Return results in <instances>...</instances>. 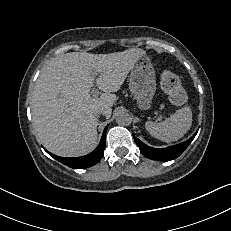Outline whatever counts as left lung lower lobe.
I'll list each match as a JSON object with an SVG mask.
<instances>
[{"instance_id": "0a47b994", "label": "left lung lower lobe", "mask_w": 231, "mask_h": 231, "mask_svg": "<svg viewBox=\"0 0 231 231\" xmlns=\"http://www.w3.org/2000/svg\"><path fill=\"white\" fill-rule=\"evenodd\" d=\"M196 134L197 132L189 140L183 143L170 146L164 149L151 148L145 145L135 136L134 139L142 154L148 157L149 159L158 160V161H169L180 156L183 153V151L188 147V145L191 143V141L194 139Z\"/></svg>"}]
</instances>
